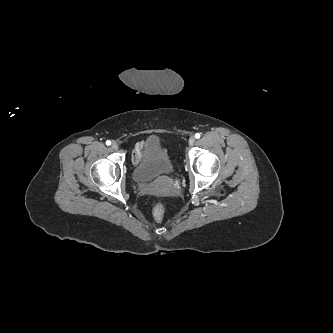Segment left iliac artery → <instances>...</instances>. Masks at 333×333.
Wrapping results in <instances>:
<instances>
[{
    "label": "left iliac artery",
    "instance_id": "44dca946",
    "mask_svg": "<svg viewBox=\"0 0 333 333\" xmlns=\"http://www.w3.org/2000/svg\"><path fill=\"white\" fill-rule=\"evenodd\" d=\"M200 136H201L200 133H196V134H195L196 139H199Z\"/></svg>",
    "mask_w": 333,
    "mask_h": 333
}]
</instances>
